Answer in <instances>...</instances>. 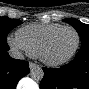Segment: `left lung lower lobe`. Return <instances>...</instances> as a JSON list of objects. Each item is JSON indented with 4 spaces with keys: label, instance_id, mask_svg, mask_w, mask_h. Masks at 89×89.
Instances as JSON below:
<instances>
[{
    "label": "left lung lower lobe",
    "instance_id": "0a47b994",
    "mask_svg": "<svg viewBox=\"0 0 89 89\" xmlns=\"http://www.w3.org/2000/svg\"><path fill=\"white\" fill-rule=\"evenodd\" d=\"M40 89H89V42L82 43L73 61L61 68H43Z\"/></svg>",
    "mask_w": 89,
    "mask_h": 89
}]
</instances>
